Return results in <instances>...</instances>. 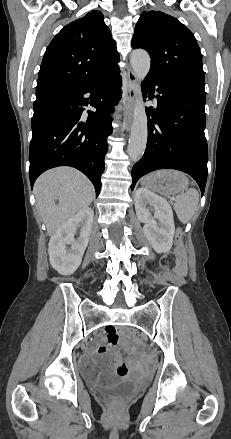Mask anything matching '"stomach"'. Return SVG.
<instances>
[{
  "label": "stomach",
  "instance_id": "1",
  "mask_svg": "<svg viewBox=\"0 0 231 439\" xmlns=\"http://www.w3.org/2000/svg\"><path fill=\"white\" fill-rule=\"evenodd\" d=\"M188 178L179 171L161 170L149 174L143 184L151 190L164 194L175 195L188 187Z\"/></svg>",
  "mask_w": 231,
  "mask_h": 439
}]
</instances>
